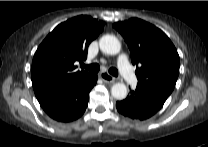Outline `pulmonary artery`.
Returning a JSON list of instances; mask_svg holds the SVG:
<instances>
[{"label": "pulmonary artery", "mask_w": 208, "mask_h": 147, "mask_svg": "<svg viewBox=\"0 0 208 147\" xmlns=\"http://www.w3.org/2000/svg\"><path fill=\"white\" fill-rule=\"evenodd\" d=\"M118 68L124 77V79L129 83V84H134L136 83V76L128 62V59L125 54H121L118 57Z\"/></svg>", "instance_id": "e3ab8cb5"}]
</instances>
